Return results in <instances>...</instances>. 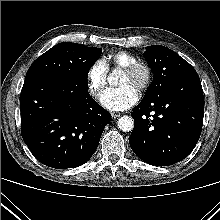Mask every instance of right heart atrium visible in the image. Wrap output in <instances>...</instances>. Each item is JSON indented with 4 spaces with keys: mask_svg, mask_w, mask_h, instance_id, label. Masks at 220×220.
Returning a JSON list of instances; mask_svg holds the SVG:
<instances>
[{
    "mask_svg": "<svg viewBox=\"0 0 220 220\" xmlns=\"http://www.w3.org/2000/svg\"><path fill=\"white\" fill-rule=\"evenodd\" d=\"M108 76V65L105 60H95L87 71V82L90 94L98 98L106 86Z\"/></svg>",
    "mask_w": 220,
    "mask_h": 220,
    "instance_id": "d8ad5b80",
    "label": "right heart atrium"
}]
</instances>
